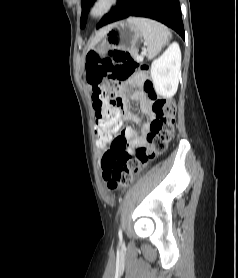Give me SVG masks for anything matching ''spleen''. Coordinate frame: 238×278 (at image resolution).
<instances>
[{"label":"spleen","mask_w":238,"mask_h":278,"mask_svg":"<svg viewBox=\"0 0 238 278\" xmlns=\"http://www.w3.org/2000/svg\"><path fill=\"white\" fill-rule=\"evenodd\" d=\"M128 21L135 24L141 31L147 46L148 59H153L171 38L167 27L156 21L139 17L129 18Z\"/></svg>","instance_id":"spleen-1"}]
</instances>
